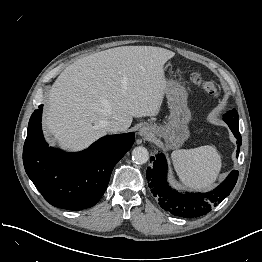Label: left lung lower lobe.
I'll return each mask as SVG.
<instances>
[{"label": "left lung lower lobe", "instance_id": "0a47b994", "mask_svg": "<svg viewBox=\"0 0 262 262\" xmlns=\"http://www.w3.org/2000/svg\"><path fill=\"white\" fill-rule=\"evenodd\" d=\"M229 128L241 145L242 138L239 125L228 123ZM240 149L238 146L237 156ZM153 164L147 168L146 177L152 194L158 199L159 205L171 214L179 217L194 218L205 215L217 206L233 190L238 171L233 170L215 189L207 193L179 192L171 188L167 182V161L163 154L151 157Z\"/></svg>", "mask_w": 262, "mask_h": 262}]
</instances>
